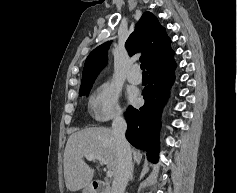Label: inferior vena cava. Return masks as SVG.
Masks as SVG:
<instances>
[{
    "mask_svg": "<svg viewBox=\"0 0 237 193\" xmlns=\"http://www.w3.org/2000/svg\"><path fill=\"white\" fill-rule=\"evenodd\" d=\"M126 130V120L122 114H118L112 123L118 153V166L112 182V193H124L132 171L131 148L125 138Z\"/></svg>",
    "mask_w": 237,
    "mask_h": 193,
    "instance_id": "obj_1",
    "label": "inferior vena cava"
}]
</instances>
